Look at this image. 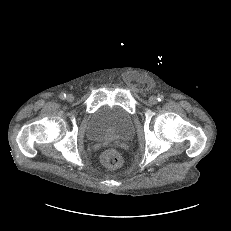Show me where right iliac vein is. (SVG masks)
I'll return each instance as SVG.
<instances>
[{
	"label": "right iliac vein",
	"mask_w": 231,
	"mask_h": 231,
	"mask_svg": "<svg viewBox=\"0 0 231 231\" xmlns=\"http://www.w3.org/2000/svg\"><path fill=\"white\" fill-rule=\"evenodd\" d=\"M66 99H67L68 102H72L74 97H73L72 94H68Z\"/></svg>",
	"instance_id": "obj_1"
}]
</instances>
